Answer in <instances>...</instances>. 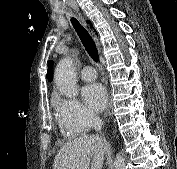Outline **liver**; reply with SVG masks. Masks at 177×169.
I'll return each instance as SVG.
<instances>
[{
	"label": "liver",
	"mask_w": 177,
	"mask_h": 169,
	"mask_svg": "<svg viewBox=\"0 0 177 169\" xmlns=\"http://www.w3.org/2000/svg\"><path fill=\"white\" fill-rule=\"evenodd\" d=\"M108 148V143L97 136H81L60 148L53 169H101Z\"/></svg>",
	"instance_id": "obj_1"
}]
</instances>
